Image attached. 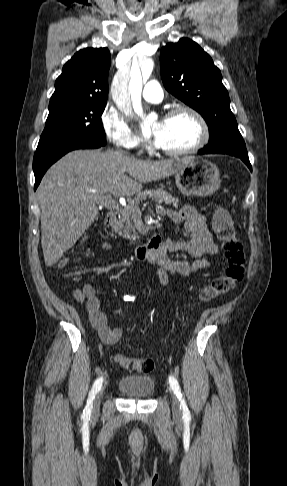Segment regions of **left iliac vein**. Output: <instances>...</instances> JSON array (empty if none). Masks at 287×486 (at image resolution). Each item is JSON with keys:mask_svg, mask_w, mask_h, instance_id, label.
<instances>
[{"mask_svg": "<svg viewBox=\"0 0 287 486\" xmlns=\"http://www.w3.org/2000/svg\"><path fill=\"white\" fill-rule=\"evenodd\" d=\"M171 397H172V412H173V415H174L175 418H181L182 411H181L179 399L175 395V393L172 392V391H171Z\"/></svg>", "mask_w": 287, "mask_h": 486, "instance_id": "4c4485c4", "label": "left iliac vein"}]
</instances>
